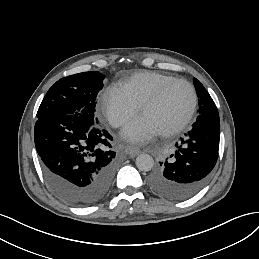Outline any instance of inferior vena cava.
Segmentation results:
<instances>
[{
  "instance_id": "602c4592",
  "label": "inferior vena cava",
  "mask_w": 259,
  "mask_h": 259,
  "mask_svg": "<svg viewBox=\"0 0 259 259\" xmlns=\"http://www.w3.org/2000/svg\"><path fill=\"white\" fill-rule=\"evenodd\" d=\"M118 123H119V121H118ZM118 123H117V124H115V125H116V126H119V124H118Z\"/></svg>"
}]
</instances>
